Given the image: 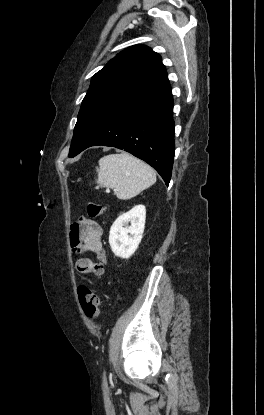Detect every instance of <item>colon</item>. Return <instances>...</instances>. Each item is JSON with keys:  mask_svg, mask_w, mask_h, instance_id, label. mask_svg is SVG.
Listing matches in <instances>:
<instances>
[{"mask_svg": "<svg viewBox=\"0 0 264 415\" xmlns=\"http://www.w3.org/2000/svg\"><path fill=\"white\" fill-rule=\"evenodd\" d=\"M103 213V208L100 204L90 202L87 206V216L89 218H97ZM76 266L81 271L98 272L100 266L89 258H79L76 261ZM78 301L82 312L90 319H95L99 313V298L97 293L86 287L78 288Z\"/></svg>", "mask_w": 264, "mask_h": 415, "instance_id": "1", "label": "colon"}]
</instances>
